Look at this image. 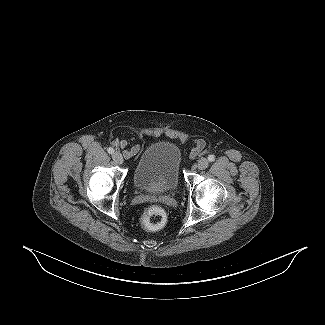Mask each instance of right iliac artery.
Segmentation results:
<instances>
[{
    "instance_id": "82829eb1",
    "label": "right iliac artery",
    "mask_w": 325,
    "mask_h": 325,
    "mask_svg": "<svg viewBox=\"0 0 325 325\" xmlns=\"http://www.w3.org/2000/svg\"><path fill=\"white\" fill-rule=\"evenodd\" d=\"M107 151H108L109 154L114 153V149H113L112 147H109V148L107 149Z\"/></svg>"
}]
</instances>
